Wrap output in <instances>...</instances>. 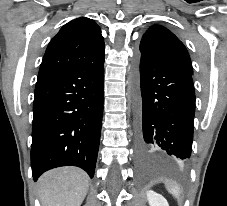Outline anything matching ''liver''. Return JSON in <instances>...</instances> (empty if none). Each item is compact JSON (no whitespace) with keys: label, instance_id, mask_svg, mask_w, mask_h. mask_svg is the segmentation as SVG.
Instances as JSON below:
<instances>
[{"label":"liver","instance_id":"obj_1","mask_svg":"<svg viewBox=\"0 0 227 206\" xmlns=\"http://www.w3.org/2000/svg\"><path fill=\"white\" fill-rule=\"evenodd\" d=\"M88 188L89 177L82 169L62 167L40 177L38 196L42 206H80Z\"/></svg>","mask_w":227,"mask_h":206}]
</instances>
